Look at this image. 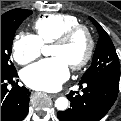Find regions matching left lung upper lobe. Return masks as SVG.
I'll return each instance as SVG.
<instances>
[{"label": "left lung upper lobe", "instance_id": "obj_1", "mask_svg": "<svg viewBox=\"0 0 121 121\" xmlns=\"http://www.w3.org/2000/svg\"><path fill=\"white\" fill-rule=\"evenodd\" d=\"M89 19L96 26L99 33V41L93 56L92 64L84 73L80 83L92 79H107L119 82L120 63L115 47L106 31L92 17Z\"/></svg>", "mask_w": 121, "mask_h": 121}]
</instances>
